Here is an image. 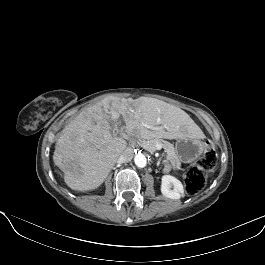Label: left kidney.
Instances as JSON below:
<instances>
[{
    "label": "left kidney",
    "instance_id": "left-kidney-1",
    "mask_svg": "<svg viewBox=\"0 0 265 265\" xmlns=\"http://www.w3.org/2000/svg\"><path fill=\"white\" fill-rule=\"evenodd\" d=\"M161 180V193L165 197L170 199H180L184 195L183 185L177 178L171 175H164Z\"/></svg>",
    "mask_w": 265,
    "mask_h": 265
}]
</instances>
